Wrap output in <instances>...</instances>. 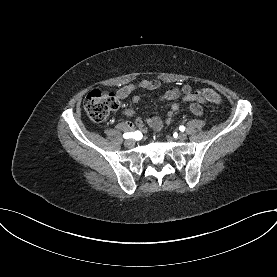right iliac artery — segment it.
Here are the masks:
<instances>
[{
	"instance_id": "1",
	"label": "right iliac artery",
	"mask_w": 277,
	"mask_h": 277,
	"mask_svg": "<svg viewBox=\"0 0 277 277\" xmlns=\"http://www.w3.org/2000/svg\"><path fill=\"white\" fill-rule=\"evenodd\" d=\"M142 136V134L139 132V131H136V132H134V133H125L124 135H123V137L125 138V139H129V138H132V137H141Z\"/></svg>"
}]
</instances>
